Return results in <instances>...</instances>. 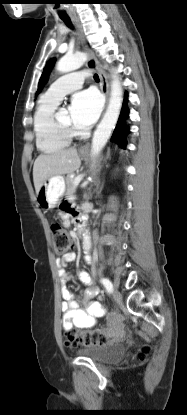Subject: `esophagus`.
I'll use <instances>...</instances> for the list:
<instances>
[{
	"label": "esophagus",
	"mask_w": 187,
	"mask_h": 415,
	"mask_svg": "<svg viewBox=\"0 0 187 415\" xmlns=\"http://www.w3.org/2000/svg\"><path fill=\"white\" fill-rule=\"evenodd\" d=\"M74 22H75V24H76V26L79 30V35H80L81 41L84 44V50L88 54V59H87V62H86V66L89 69H95V70L98 71L100 81H101V90H102V93L106 97V105H107L108 100H109V84H108L107 76H106L105 72L102 70V68L99 66L97 60L93 57V54L88 49V47L85 43L84 34H83L82 27H81V24H80L79 20H74ZM87 148H88V145H84V146L81 147V150H87Z\"/></svg>",
	"instance_id": "obj_1"
}]
</instances>
